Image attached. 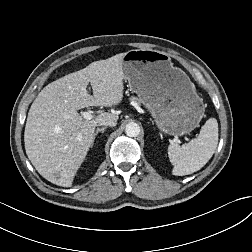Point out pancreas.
I'll use <instances>...</instances> for the list:
<instances>
[{
    "instance_id": "pancreas-1",
    "label": "pancreas",
    "mask_w": 252,
    "mask_h": 252,
    "mask_svg": "<svg viewBox=\"0 0 252 252\" xmlns=\"http://www.w3.org/2000/svg\"><path fill=\"white\" fill-rule=\"evenodd\" d=\"M132 100L139 101V100H138V99H136V98H132Z\"/></svg>"
}]
</instances>
